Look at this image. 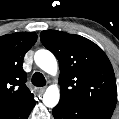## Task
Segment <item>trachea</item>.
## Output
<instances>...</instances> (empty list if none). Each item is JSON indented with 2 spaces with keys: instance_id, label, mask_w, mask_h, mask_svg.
<instances>
[{
  "instance_id": "1",
  "label": "trachea",
  "mask_w": 119,
  "mask_h": 119,
  "mask_svg": "<svg viewBox=\"0 0 119 119\" xmlns=\"http://www.w3.org/2000/svg\"><path fill=\"white\" fill-rule=\"evenodd\" d=\"M32 83L37 87H43L46 85V80L40 72H35L32 76Z\"/></svg>"
}]
</instances>
